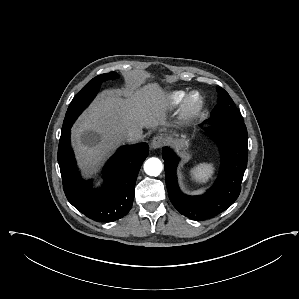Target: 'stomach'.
<instances>
[{"label": "stomach", "mask_w": 299, "mask_h": 299, "mask_svg": "<svg viewBox=\"0 0 299 299\" xmlns=\"http://www.w3.org/2000/svg\"><path fill=\"white\" fill-rule=\"evenodd\" d=\"M180 143L187 145V144H188V141H186V140L183 139V140H181Z\"/></svg>", "instance_id": "0dacf381"}]
</instances>
